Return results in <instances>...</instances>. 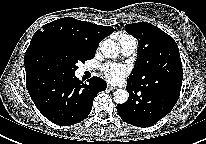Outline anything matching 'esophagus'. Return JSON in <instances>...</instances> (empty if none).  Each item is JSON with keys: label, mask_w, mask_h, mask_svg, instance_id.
Listing matches in <instances>:
<instances>
[{"label": "esophagus", "mask_w": 206, "mask_h": 144, "mask_svg": "<svg viewBox=\"0 0 206 144\" xmlns=\"http://www.w3.org/2000/svg\"><path fill=\"white\" fill-rule=\"evenodd\" d=\"M108 88L110 89V90H115V89H117L115 86H113V85H108Z\"/></svg>", "instance_id": "obj_1"}]
</instances>
